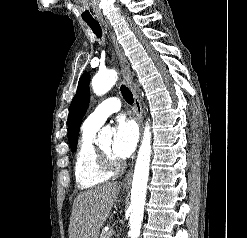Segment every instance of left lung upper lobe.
I'll return each instance as SVG.
<instances>
[{"instance_id":"obj_1","label":"left lung upper lobe","mask_w":247,"mask_h":238,"mask_svg":"<svg viewBox=\"0 0 247 238\" xmlns=\"http://www.w3.org/2000/svg\"><path fill=\"white\" fill-rule=\"evenodd\" d=\"M89 82V74L84 73L79 80L76 95L74 96L69 108L68 138L72 151H75L77 147V136L79 133L80 121L89 106Z\"/></svg>"}]
</instances>
